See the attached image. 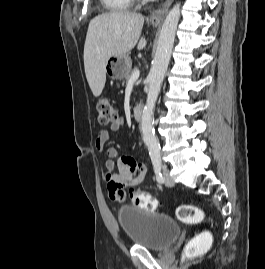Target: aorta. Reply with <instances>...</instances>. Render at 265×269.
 Segmentation results:
<instances>
[{
	"label": "aorta",
	"instance_id": "762f6f07",
	"mask_svg": "<svg viewBox=\"0 0 265 269\" xmlns=\"http://www.w3.org/2000/svg\"><path fill=\"white\" fill-rule=\"evenodd\" d=\"M180 19V4L168 12L161 28L156 53L148 75L149 89L141 117V132L151 158H160V144L154 134L153 114L161 84L168 69L174 45L177 25Z\"/></svg>",
	"mask_w": 265,
	"mask_h": 269
}]
</instances>
